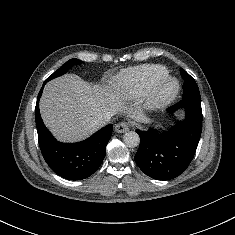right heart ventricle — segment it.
I'll return each instance as SVG.
<instances>
[{
  "instance_id": "1",
  "label": "right heart ventricle",
  "mask_w": 235,
  "mask_h": 235,
  "mask_svg": "<svg viewBox=\"0 0 235 235\" xmlns=\"http://www.w3.org/2000/svg\"><path fill=\"white\" fill-rule=\"evenodd\" d=\"M168 75V70L155 64H143L123 71L118 79L120 92L130 98L143 97L157 79Z\"/></svg>"
}]
</instances>
